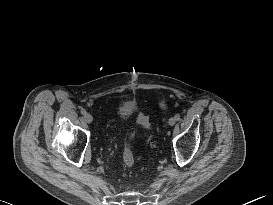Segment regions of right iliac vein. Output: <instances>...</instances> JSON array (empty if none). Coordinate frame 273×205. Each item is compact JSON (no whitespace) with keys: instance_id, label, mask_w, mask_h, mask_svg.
<instances>
[{"instance_id":"right-iliac-vein-1","label":"right iliac vein","mask_w":273,"mask_h":205,"mask_svg":"<svg viewBox=\"0 0 273 205\" xmlns=\"http://www.w3.org/2000/svg\"><path fill=\"white\" fill-rule=\"evenodd\" d=\"M84 119H85V121L87 122V123H92V121H93V117H92V115L90 114V113H86L85 115H84Z\"/></svg>"}]
</instances>
